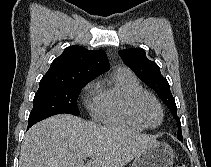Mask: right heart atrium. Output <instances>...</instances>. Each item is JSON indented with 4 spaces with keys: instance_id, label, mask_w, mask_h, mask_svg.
Returning a JSON list of instances; mask_svg holds the SVG:
<instances>
[{
    "instance_id": "1",
    "label": "right heart atrium",
    "mask_w": 211,
    "mask_h": 167,
    "mask_svg": "<svg viewBox=\"0 0 211 167\" xmlns=\"http://www.w3.org/2000/svg\"><path fill=\"white\" fill-rule=\"evenodd\" d=\"M85 92L87 106L92 109L95 104L98 92V83L96 81H91L90 83H88L85 87Z\"/></svg>"
}]
</instances>
